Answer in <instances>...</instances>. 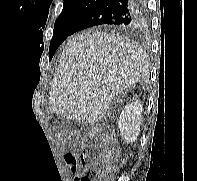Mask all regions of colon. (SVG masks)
Returning <instances> with one entry per match:
<instances>
[{
  "label": "colon",
  "instance_id": "colon-1",
  "mask_svg": "<svg viewBox=\"0 0 197 181\" xmlns=\"http://www.w3.org/2000/svg\"><path fill=\"white\" fill-rule=\"evenodd\" d=\"M81 158L87 166V171L79 181H109L119 166L113 148L99 150L93 156L84 150L81 153Z\"/></svg>",
  "mask_w": 197,
  "mask_h": 181
}]
</instances>
